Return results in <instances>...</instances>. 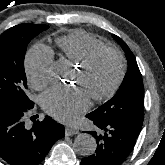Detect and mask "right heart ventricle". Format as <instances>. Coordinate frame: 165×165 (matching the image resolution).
Returning <instances> with one entry per match:
<instances>
[{
	"label": "right heart ventricle",
	"instance_id": "e07e8e85",
	"mask_svg": "<svg viewBox=\"0 0 165 165\" xmlns=\"http://www.w3.org/2000/svg\"><path fill=\"white\" fill-rule=\"evenodd\" d=\"M55 42L62 56L76 64L92 50L105 45L100 39L83 30L58 37Z\"/></svg>",
	"mask_w": 165,
	"mask_h": 165
}]
</instances>
